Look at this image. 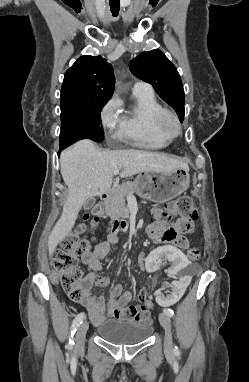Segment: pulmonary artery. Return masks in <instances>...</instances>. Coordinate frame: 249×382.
Listing matches in <instances>:
<instances>
[{
	"label": "pulmonary artery",
	"instance_id": "e3ab8cb5",
	"mask_svg": "<svg viewBox=\"0 0 249 382\" xmlns=\"http://www.w3.org/2000/svg\"><path fill=\"white\" fill-rule=\"evenodd\" d=\"M133 91L152 92V87L145 82H135L133 85Z\"/></svg>",
	"mask_w": 249,
	"mask_h": 382
}]
</instances>
